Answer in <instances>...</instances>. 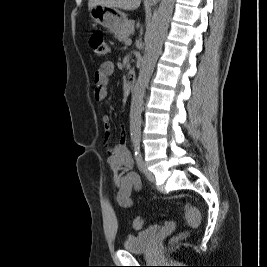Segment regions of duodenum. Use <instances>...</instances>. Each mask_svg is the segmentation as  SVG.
<instances>
[{
    "label": "duodenum",
    "instance_id": "duodenum-1",
    "mask_svg": "<svg viewBox=\"0 0 267 267\" xmlns=\"http://www.w3.org/2000/svg\"><path fill=\"white\" fill-rule=\"evenodd\" d=\"M127 81H128V86L130 90L133 91L134 86H135V81H136V73L133 69H130L128 71Z\"/></svg>",
    "mask_w": 267,
    "mask_h": 267
}]
</instances>
